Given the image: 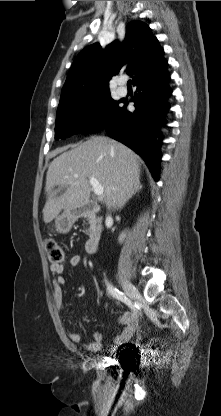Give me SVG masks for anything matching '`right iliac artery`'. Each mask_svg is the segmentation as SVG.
<instances>
[{
    "label": "right iliac artery",
    "instance_id": "right-iliac-artery-1",
    "mask_svg": "<svg viewBox=\"0 0 221 416\" xmlns=\"http://www.w3.org/2000/svg\"><path fill=\"white\" fill-rule=\"evenodd\" d=\"M107 290L109 292V294L113 297L116 298L118 300H120L121 302L125 303L126 305H128L134 313H136L134 306L132 305L131 301L127 298V296L119 291L117 288H115L113 285H111L110 283H107Z\"/></svg>",
    "mask_w": 221,
    "mask_h": 416
}]
</instances>
